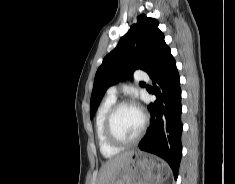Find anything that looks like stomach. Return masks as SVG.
<instances>
[{"label": "stomach", "instance_id": "stomach-1", "mask_svg": "<svg viewBox=\"0 0 235 184\" xmlns=\"http://www.w3.org/2000/svg\"><path fill=\"white\" fill-rule=\"evenodd\" d=\"M168 176L167 164H158L144 152H133L128 162L109 180V184H162Z\"/></svg>", "mask_w": 235, "mask_h": 184}]
</instances>
